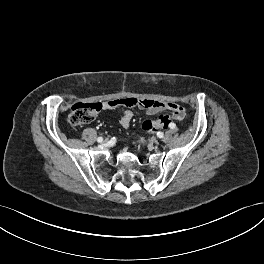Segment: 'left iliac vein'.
I'll use <instances>...</instances> for the list:
<instances>
[{
	"label": "left iliac vein",
	"instance_id": "obj_1",
	"mask_svg": "<svg viewBox=\"0 0 264 264\" xmlns=\"http://www.w3.org/2000/svg\"><path fill=\"white\" fill-rule=\"evenodd\" d=\"M160 140L158 139V140H154V145H160Z\"/></svg>",
	"mask_w": 264,
	"mask_h": 264
}]
</instances>
